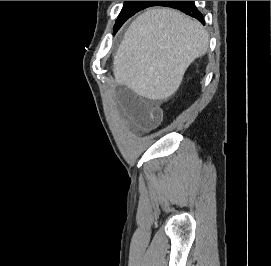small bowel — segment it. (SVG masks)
<instances>
[{
    "label": "small bowel",
    "mask_w": 271,
    "mask_h": 266,
    "mask_svg": "<svg viewBox=\"0 0 271 266\" xmlns=\"http://www.w3.org/2000/svg\"><path fill=\"white\" fill-rule=\"evenodd\" d=\"M116 75L126 84L119 90L118 98L128 117L144 129L156 126L162 117L161 103L157 100H145L130 88L133 74L128 67L120 68Z\"/></svg>",
    "instance_id": "obj_1"
}]
</instances>
